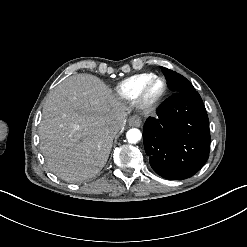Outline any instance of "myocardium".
Returning <instances> with one entry per match:
<instances>
[{
	"instance_id": "1",
	"label": "myocardium",
	"mask_w": 247,
	"mask_h": 247,
	"mask_svg": "<svg viewBox=\"0 0 247 247\" xmlns=\"http://www.w3.org/2000/svg\"><path fill=\"white\" fill-rule=\"evenodd\" d=\"M157 81H161L164 85L163 90L155 97H148L149 88ZM168 91V84L164 77L153 76L147 79L139 88L137 96L134 100L135 107L141 111H147L158 105L166 96Z\"/></svg>"
}]
</instances>
